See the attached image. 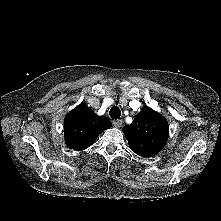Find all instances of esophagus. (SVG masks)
<instances>
[{
    "mask_svg": "<svg viewBox=\"0 0 221 221\" xmlns=\"http://www.w3.org/2000/svg\"><path fill=\"white\" fill-rule=\"evenodd\" d=\"M122 123H123V121L120 119L113 121V125L117 128L121 127Z\"/></svg>",
    "mask_w": 221,
    "mask_h": 221,
    "instance_id": "1",
    "label": "esophagus"
}]
</instances>
